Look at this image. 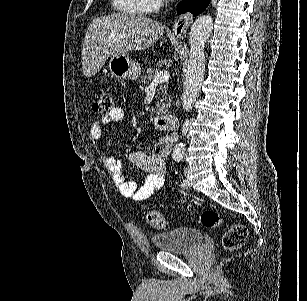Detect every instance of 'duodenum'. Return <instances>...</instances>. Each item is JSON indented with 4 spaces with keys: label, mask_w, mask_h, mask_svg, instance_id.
Here are the masks:
<instances>
[{
    "label": "duodenum",
    "mask_w": 307,
    "mask_h": 301,
    "mask_svg": "<svg viewBox=\"0 0 307 301\" xmlns=\"http://www.w3.org/2000/svg\"><path fill=\"white\" fill-rule=\"evenodd\" d=\"M155 124L161 130L174 131L177 129L178 120L174 115L166 114L157 117Z\"/></svg>",
    "instance_id": "obj_1"
}]
</instances>
